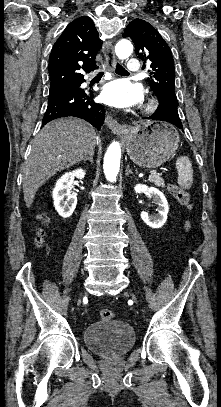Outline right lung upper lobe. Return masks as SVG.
<instances>
[{"label":"right lung upper lobe","mask_w":221,"mask_h":407,"mask_svg":"<svg viewBox=\"0 0 221 407\" xmlns=\"http://www.w3.org/2000/svg\"><path fill=\"white\" fill-rule=\"evenodd\" d=\"M102 47L91 18L82 16L65 28L49 57L51 84L67 85L96 68L95 57Z\"/></svg>","instance_id":"cb5924a9"}]
</instances>
